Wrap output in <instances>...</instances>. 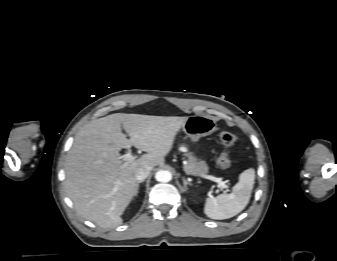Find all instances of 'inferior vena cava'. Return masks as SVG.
Masks as SVG:
<instances>
[{"instance_id":"obj_1","label":"inferior vena cava","mask_w":337,"mask_h":261,"mask_svg":"<svg viewBox=\"0 0 337 261\" xmlns=\"http://www.w3.org/2000/svg\"><path fill=\"white\" fill-rule=\"evenodd\" d=\"M151 170V166L141 167L137 169L135 174L136 180L144 181L149 176Z\"/></svg>"}]
</instances>
